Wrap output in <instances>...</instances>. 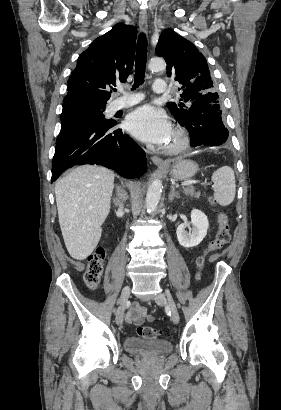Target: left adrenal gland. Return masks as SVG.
<instances>
[{"instance_id":"obj_1","label":"left adrenal gland","mask_w":281,"mask_h":410,"mask_svg":"<svg viewBox=\"0 0 281 410\" xmlns=\"http://www.w3.org/2000/svg\"><path fill=\"white\" fill-rule=\"evenodd\" d=\"M174 198H180V194L176 192L175 187L172 185L171 186V191L169 193L168 199L169 201H173Z\"/></svg>"}]
</instances>
